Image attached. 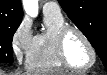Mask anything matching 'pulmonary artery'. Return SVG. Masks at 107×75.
Segmentation results:
<instances>
[{
  "label": "pulmonary artery",
  "instance_id": "1",
  "mask_svg": "<svg viewBox=\"0 0 107 75\" xmlns=\"http://www.w3.org/2000/svg\"><path fill=\"white\" fill-rule=\"evenodd\" d=\"M44 13L61 14L60 7L55 2H46L43 6Z\"/></svg>",
  "mask_w": 107,
  "mask_h": 75
}]
</instances>
